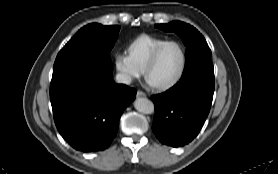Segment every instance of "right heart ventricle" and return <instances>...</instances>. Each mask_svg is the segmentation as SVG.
Segmentation results:
<instances>
[{
    "label": "right heart ventricle",
    "mask_w": 278,
    "mask_h": 174,
    "mask_svg": "<svg viewBox=\"0 0 278 174\" xmlns=\"http://www.w3.org/2000/svg\"><path fill=\"white\" fill-rule=\"evenodd\" d=\"M162 43L163 41L160 39L141 37L130 45L128 58L139 71H142L154 50Z\"/></svg>",
    "instance_id": "obj_1"
}]
</instances>
